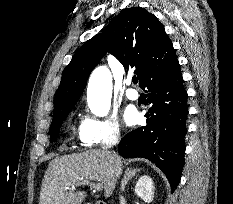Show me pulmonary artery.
I'll use <instances>...</instances> for the list:
<instances>
[{"label": "pulmonary artery", "mask_w": 233, "mask_h": 204, "mask_svg": "<svg viewBox=\"0 0 233 204\" xmlns=\"http://www.w3.org/2000/svg\"><path fill=\"white\" fill-rule=\"evenodd\" d=\"M127 85H131V79L127 80ZM125 93L130 100H137L139 98V93L133 88H128Z\"/></svg>", "instance_id": "1"}]
</instances>
